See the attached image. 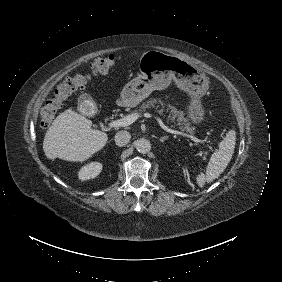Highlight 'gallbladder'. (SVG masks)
<instances>
[{
	"instance_id": "bac80fb5",
	"label": "gallbladder",
	"mask_w": 282,
	"mask_h": 282,
	"mask_svg": "<svg viewBox=\"0 0 282 282\" xmlns=\"http://www.w3.org/2000/svg\"><path fill=\"white\" fill-rule=\"evenodd\" d=\"M92 102H93V99L89 94L80 95L78 98V110L89 108Z\"/></svg>"
}]
</instances>
